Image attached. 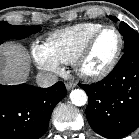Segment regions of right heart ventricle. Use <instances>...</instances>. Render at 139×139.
I'll return each instance as SVG.
<instances>
[{
  "label": "right heart ventricle",
  "instance_id": "obj_1",
  "mask_svg": "<svg viewBox=\"0 0 139 139\" xmlns=\"http://www.w3.org/2000/svg\"><path fill=\"white\" fill-rule=\"evenodd\" d=\"M102 26L95 22L76 24L51 33L44 45L59 63L72 64L88 38Z\"/></svg>",
  "mask_w": 139,
  "mask_h": 139
}]
</instances>
